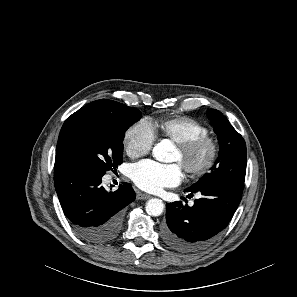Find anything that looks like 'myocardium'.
I'll return each instance as SVG.
<instances>
[{
    "label": "myocardium",
    "instance_id": "myocardium-1",
    "mask_svg": "<svg viewBox=\"0 0 297 297\" xmlns=\"http://www.w3.org/2000/svg\"><path fill=\"white\" fill-rule=\"evenodd\" d=\"M176 146L181 154L183 168L191 179H200L206 176L219 158V143L210 135H203L183 143H177ZM203 149L208 150L206 160L200 165H192L190 163L192 157Z\"/></svg>",
    "mask_w": 297,
    "mask_h": 297
}]
</instances>
